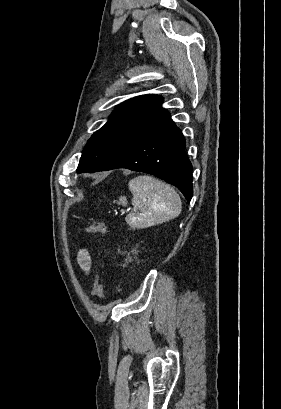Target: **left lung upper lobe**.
I'll return each mask as SVG.
<instances>
[{"label":"left lung upper lobe","mask_w":281,"mask_h":409,"mask_svg":"<svg viewBox=\"0 0 281 409\" xmlns=\"http://www.w3.org/2000/svg\"><path fill=\"white\" fill-rule=\"evenodd\" d=\"M162 102L161 96L142 95L120 104L88 140L77 172L98 171L113 157L169 122L170 114L161 107Z\"/></svg>","instance_id":"1"}]
</instances>
